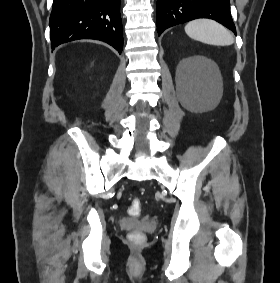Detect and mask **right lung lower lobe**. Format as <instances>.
I'll return each mask as SVG.
<instances>
[{
    "label": "right lung lower lobe",
    "instance_id": "98d812e1",
    "mask_svg": "<svg viewBox=\"0 0 280 283\" xmlns=\"http://www.w3.org/2000/svg\"><path fill=\"white\" fill-rule=\"evenodd\" d=\"M121 0H54L50 15L51 47L78 39L101 40L123 49Z\"/></svg>",
    "mask_w": 280,
    "mask_h": 283
}]
</instances>
